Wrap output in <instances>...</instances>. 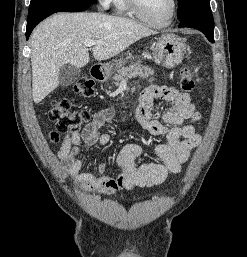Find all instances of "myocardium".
<instances>
[{"mask_svg":"<svg viewBox=\"0 0 247 257\" xmlns=\"http://www.w3.org/2000/svg\"><path fill=\"white\" fill-rule=\"evenodd\" d=\"M127 6L129 10L137 17L139 18L142 22L145 24L155 27V28H164L169 26L172 21L174 20L177 10H178V0H172L173 7L170 16L167 18L166 21L158 23L150 20L142 11L140 7L139 0H126Z\"/></svg>","mask_w":247,"mask_h":257,"instance_id":"myocardium-1","label":"myocardium"}]
</instances>
